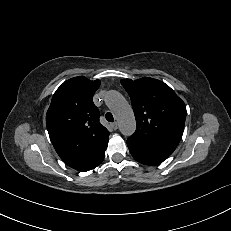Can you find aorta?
<instances>
[{"label":"aorta","instance_id":"obj_1","mask_svg":"<svg viewBox=\"0 0 231 231\" xmlns=\"http://www.w3.org/2000/svg\"><path fill=\"white\" fill-rule=\"evenodd\" d=\"M107 106L114 113L119 130L124 136H130L136 129L133 110L125 98L117 91L111 90L105 96Z\"/></svg>","mask_w":231,"mask_h":231}]
</instances>
